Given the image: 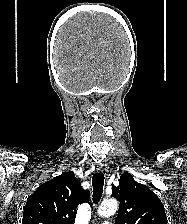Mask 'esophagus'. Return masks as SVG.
<instances>
[{"label":"esophagus","instance_id":"34e87169","mask_svg":"<svg viewBox=\"0 0 187 224\" xmlns=\"http://www.w3.org/2000/svg\"><path fill=\"white\" fill-rule=\"evenodd\" d=\"M96 170L98 172H101L103 170V164H98L97 167H96Z\"/></svg>","mask_w":187,"mask_h":224}]
</instances>
